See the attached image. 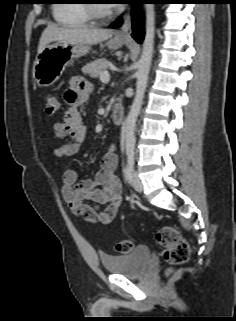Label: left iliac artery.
<instances>
[{"mask_svg":"<svg viewBox=\"0 0 236 321\" xmlns=\"http://www.w3.org/2000/svg\"><path fill=\"white\" fill-rule=\"evenodd\" d=\"M134 160H135V153L133 151L127 152V165L125 170V176L129 183H131L132 181Z\"/></svg>","mask_w":236,"mask_h":321,"instance_id":"obj_1","label":"left iliac artery"}]
</instances>
